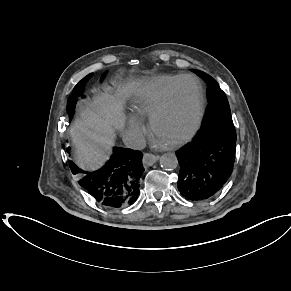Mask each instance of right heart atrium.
<instances>
[{
  "label": "right heart atrium",
  "mask_w": 291,
  "mask_h": 291,
  "mask_svg": "<svg viewBox=\"0 0 291 291\" xmlns=\"http://www.w3.org/2000/svg\"><path fill=\"white\" fill-rule=\"evenodd\" d=\"M127 133L140 138L146 133V127L138 119L130 118L127 123Z\"/></svg>",
  "instance_id": "1"
}]
</instances>
